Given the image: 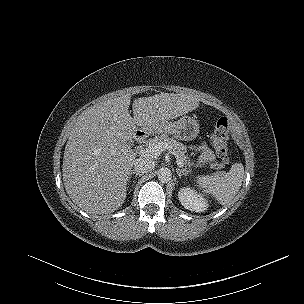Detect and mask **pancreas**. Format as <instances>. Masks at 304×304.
I'll return each mask as SVG.
<instances>
[{
  "label": "pancreas",
  "mask_w": 304,
  "mask_h": 304,
  "mask_svg": "<svg viewBox=\"0 0 304 304\" xmlns=\"http://www.w3.org/2000/svg\"><path fill=\"white\" fill-rule=\"evenodd\" d=\"M158 143H164L167 145L166 149L169 150L171 153L175 155V157H178L179 161L183 165H188L189 167L193 165V163L190 162L189 157L186 155V146L183 145L182 143L174 140L173 138H170L167 134H162L160 136H156L155 138L151 139L149 141V144L156 145ZM211 167H217L221 168L223 167V164L221 163H214L211 164Z\"/></svg>",
  "instance_id": "pancreas-1"
}]
</instances>
